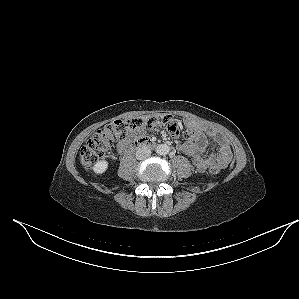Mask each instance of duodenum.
<instances>
[{
  "label": "duodenum",
  "instance_id": "1",
  "mask_svg": "<svg viewBox=\"0 0 299 299\" xmlns=\"http://www.w3.org/2000/svg\"><path fill=\"white\" fill-rule=\"evenodd\" d=\"M156 142L149 138H137L134 139L130 145L129 149H138L143 147H155Z\"/></svg>",
  "mask_w": 299,
  "mask_h": 299
}]
</instances>
